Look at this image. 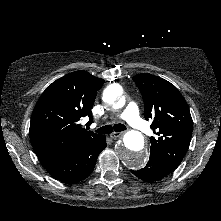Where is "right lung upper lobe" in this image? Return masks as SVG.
<instances>
[{
    "mask_svg": "<svg viewBox=\"0 0 221 221\" xmlns=\"http://www.w3.org/2000/svg\"><path fill=\"white\" fill-rule=\"evenodd\" d=\"M104 80L86 71L72 72L49 85L39 98L30 123V140L38 157L58 154L102 135L82 129Z\"/></svg>",
    "mask_w": 221,
    "mask_h": 221,
    "instance_id": "right-lung-upper-lobe-1",
    "label": "right lung upper lobe"
}]
</instances>
